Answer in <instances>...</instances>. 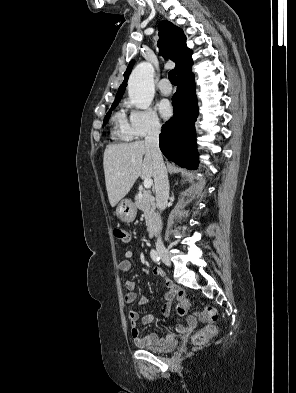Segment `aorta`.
<instances>
[{"label":"aorta","instance_id":"762f6f07","mask_svg":"<svg viewBox=\"0 0 296 393\" xmlns=\"http://www.w3.org/2000/svg\"><path fill=\"white\" fill-rule=\"evenodd\" d=\"M154 69L148 62L138 64L128 80L130 101L139 109H147L154 98Z\"/></svg>","mask_w":296,"mask_h":393}]
</instances>
